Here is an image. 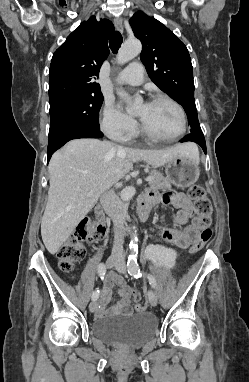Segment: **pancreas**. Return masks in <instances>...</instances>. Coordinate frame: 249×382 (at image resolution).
Listing matches in <instances>:
<instances>
[{
    "label": "pancreas",
    "mask_w": 249,
    "mask_h": 382,
    "mask_svg": "<svg viewBox=\"0 0 249 382\" xmlns=\"http://www.w3.org/2000/svg\"><path fill=\"white\" fill-rule=\"evenodd\" d=\"M150 177L153 178L152 181H149V185L154 190H164V189H171V182L165 178L162 173H160L157 170H151L150 171Z\"/></svg>",
    "instance_id": "obj_1"
}]
</instances>
